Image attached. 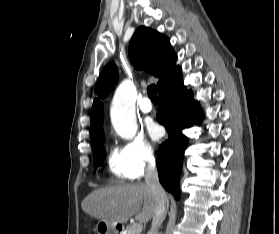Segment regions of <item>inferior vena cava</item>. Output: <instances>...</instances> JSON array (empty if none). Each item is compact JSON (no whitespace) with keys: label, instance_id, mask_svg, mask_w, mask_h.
<instances>
[{"label":"inferior vena cava","instance_id":"obj_1","mask_svg":"<svg viewBox=\"0 0 279 234\" xmlns=\"http://www.w3.org/2000/svg\"><path fill=\"white\" fill-rule=\"evenodd\" d=\"M145 182L156 200L155 213L153 216L151 229L147 234H158V229L166 217L169 201L165 190L159 182L156 163L153 158L149 159L148 165L146 167Z\"/></svg>","mask_w":279,"mask_h":234}]
</instances>
